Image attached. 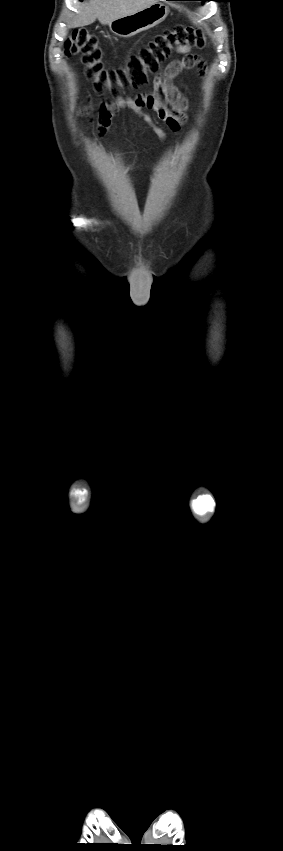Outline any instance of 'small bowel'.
<instances>
[{
    "label": "small bowel",
    "instance_id": "c3829d8e",
    "mask_svg": "<svg viewBox=\"0 0 283 851\" xmlns=\"http://www.w3.org/2000/svg\"><path fill=\"white\" fill-rule=\"evenodd\" d=\"M178 53L188 55L183 60L169 63L154 78V88L149 93L139 94L135 98H119L114 102L103 104L97 118V136H104L112 118L117 115L119 109H130L142 118L157 135L164 141L165 132L155 120L145 112V109L154 111L157 117L166 124L173 132H177L186 121V112L190 109L188 100L179 92L173 84L174 78L185 68L197 66L200 72H205V64L196 55L191 54L190 47L177 49Z\"/></svg>",
    "mask_w": 283,
    "mask_h": 851
}]
</instances>
